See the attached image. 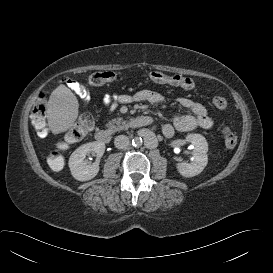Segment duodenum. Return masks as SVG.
<instances>
[{
	"mask_svg": "<svg viewBox=\"0 0 273 273\" xmlns=\"http://www.w3.org/2000/svg\"><path fill=\"white\" fill-rule=\"evenodd\" d=\"M152 122V119L148 116L138 115L130 120L124 122L119 128L118 131H123L128 128H142L149 125ZM113 132L108 129H100L96 132L95 138L98 142L107 144L112 139Z\"/></svg>",
	"mask_w": 273,
	"mask_h": 273,
	"instance_id": "1",
	"label": "duodenum"
}]
</instances>
